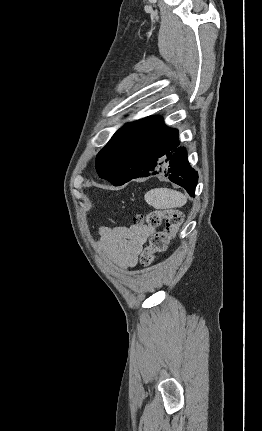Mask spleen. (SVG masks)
Wrapping results in <instances>:
<instances>
[{
	"label": "spleen",
	"mask_w": 262,
	"mask_h": 431,
	"mask_svg": "<svg viewBox=\"0 0 262 431\" xmlns=\"http://www.w3.org/2000/svg\"><path fill=\"white\" fill-rule=\"evenodd\" d=\"M145 201L156 209H170L182 207L186 204V196L169 188H155L145 194Z\"/></svg>",
	"instance_id": "obj_1"
}]
</instances>
